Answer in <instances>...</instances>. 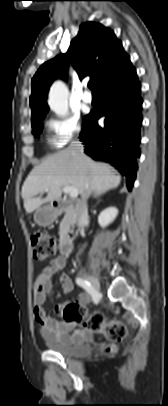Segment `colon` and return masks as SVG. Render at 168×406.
<instances>
[{"instance_id":"obj_1","label":"colon","mask_w":168,"mask_h":406,"mask_svg":"<svg viewBox=\"0 0 168 406\" xmlns=\"http://www.w3.org/2000/svg\"><path fill=\"white\" fill-rule=\"evenodd\" d=\"M33 257L38 261H44L54 256L58 251V241L55 237L45 232H35L30 237ZM64 319L71 321L76 317L82 322L85 329L103 334L110 342L105 350H114L113 344L123 340L127 336V327L118 320H106L100 312L79 313L76 307L67 306L64 310Z\"/></svg>"}]
</instances>
